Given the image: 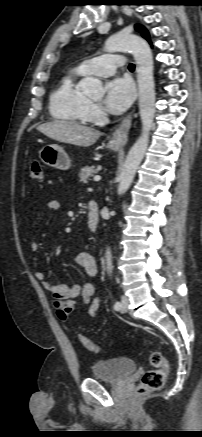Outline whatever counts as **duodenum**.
I'll list each match as a JSON object with an SVG mask.
<instances>
[{"label": "duodenum", "mask_w": 202, "mask_h": 437, "mask_svg": "<svg viewBox=\"0 0 202 437\" xmlns=\"http://www.w3.org/2000/svg\"><path fill=\"white\" fill-rule=\"evenodd\" d=\"M100 215L99 206L95 200H90L88 203V220L87 227L90 232H95L99 225Z\"/></svg>", "instance_id": "duodenum-1"}]
</instances>
